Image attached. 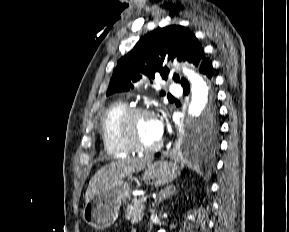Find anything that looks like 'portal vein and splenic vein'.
<instances>
[{"label":"portal vein and splenic vein","instance_id":"obj_1","mask_svg":"<svg viewBox=\"0 0 289 232\" xmlns=\"http://www.w3.org/2000/svg\"><path fill=\"white\" fill-rule=\"evenodd\" d=\"M146 201H147V198H146V197H142V198H141V202L144 203V202H146Z\"/></svg>","mask_w":289,"mask_h":232}]
</instances>
